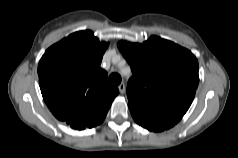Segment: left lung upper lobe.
<instances>
[{"label":"left lung upper lobe","mask_w":238,"mask_h":158,"mask_svg":"<svg viewBox=\"0 0 238 158\" xmlns=\"http://www.w3.org/2000/svg\"><path fill=\"white\" fill-rule=\"evenodd\" d=\"M117 46L133 72L127 85L130 108L148 115L187 112L199 82L198 61L189 50L157 36Z\"/></svg>","instance_id":"left-lung-upper-lobe-1"}]
</instances>
